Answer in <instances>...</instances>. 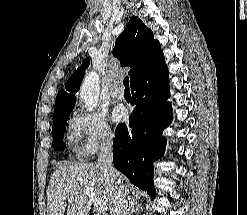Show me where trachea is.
<instances>
[{
    "instance_id": "1",
    "label": "trachea",
    "mask_w": 247,
    "mask_h": 215,
    "mask_svg": "<svg viewBox=\"0 0 247 215\" xmlns=\"http://www.w3.org/2000/svg\"><path fill=\"white\" fill-rule=\"evenodd\" d=\"M123 84L125 86V90H130V88H129V77H125L124 78Z\"/></svg>"
}]
</instances>
